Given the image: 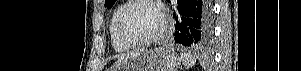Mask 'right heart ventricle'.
I'll use <instances>...</instances> for the list:
<instances>
[{
  "instance_id": "1",
  "label": "right heart ventricle",
  "mask_w": 301,
  "mask_h": 71,
  "mask_svg": "<svg viewBox=\"0 0 301 71\" xmlns=\"http://www.w3.org/2000/svg\"><path fill=\"white\" fill-rule=\"evenodd\" d=\"M123 4L119 5L113 12L111 19H110V24H109V36L111 40V45L113 49L117 52H124L127 51L130 46L125 44L120 37L118 36L117 33V20L119 13L121 9L123 8Z\"/></svg>"
}]
</instances>
